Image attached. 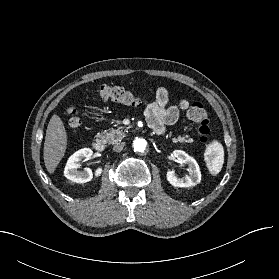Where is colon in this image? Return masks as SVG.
<instances>
[{"label":"colon","instance_id":"colon-1","mask_svg":"<svg viewBox=\"0 0 279 279\" xmlns=\"http://www.w3.org/2000/svg\"><path fill=\"white\" fill-rule=\"evenodd\" d=\"M96 96L100 100H110L128 106H138L142 104V100L135 96L131 91L123 86L102 85L96 91ZM69 125L72 128H78L81 120L75 108L68 110ZM188 118L198 124L199 140L203 143L207 142L211 133L210 121L202 104L194 102L188 109Z\"/></svg>","mask_w":279,"mask_h":279}]
</instances>
